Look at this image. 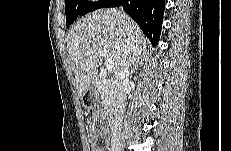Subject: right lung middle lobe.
Segmentation results:
<instances>
[{
  "instance_id": "right-lung-middle-lobe-1",
  "label": "right lung middle lobe",
  "mask_w": 231,
  "mask_h": 151,
  "mask_svg": "<svg viewBox=\"0 0 231 151\" xmlns=\"http://www.w3.org/2000/svg\"><path fill=\"white\" fill-rule=\"evenodd\" d=\"M105 2L106 0H100L98 2H91L87 0H66V25L69 26L79 15H84L88 12L101 8Z\"/></svg>"
}]
</instances>
